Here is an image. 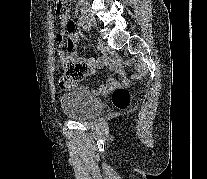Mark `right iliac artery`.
I'll use <instances>...</instances> for the list:
<instances>
[{
    "mask_svg": "<svg viewBox=\"0 0 207 179\" xmlns=\"http://www.w3.org/2000/svg\"><path fill=\"white\" fill-rule=\"evenodd\" d=\"M79 25L82 27L84 31H89L90 26L86 22L83 16H79Z\"/></svg>",
    "mask_w": 207,
    "mask_h": 179,
    "instance_id": "obj_1",
    "label": "right iliac artery"
}]
</instances>
